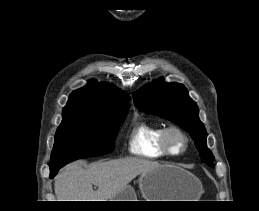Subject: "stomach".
I'll return each mask as SVG.
<instances>
[{
    "label": "stomach",
    "instance_id": "0dacf381",
    "mask_svg": "<svg viewBox=\"0 0 259 211\" xmlns=\"http://www.w3.org/2000/svg\"><path fill=\"white\" fill-rule=\"evenodd\" d=\"M138 183L145 201H192L200 193L198 179L172 165L140 174ZM110 201H137V196L133 187L127 185Z\"/></svg>",
    "mask_w": 259,
    "mask_h": 211
}]
</instances>
